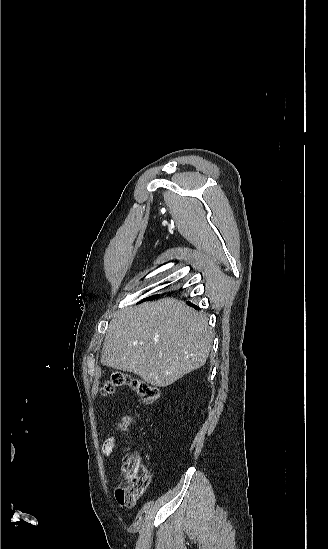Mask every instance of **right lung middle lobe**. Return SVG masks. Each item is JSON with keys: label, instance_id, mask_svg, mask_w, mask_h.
I'll return each instance as SVG.
<instances>
[{"label": "right lung middle lobe", "instance_id": "1", "mask_svg": "<svg viewBox=\"0 0 328 549\" xmlns=\"http://www.w3.org/2000/svg\"><path fill=\"white\" fill-rule=\"evenodd\" d=\"M157 296H158V295H153V296H151V297L147 298L146 300H151V299H154V298H156Z\"/></svg>", "mask_w": 328, "mask_h": 549}]
</instances>
